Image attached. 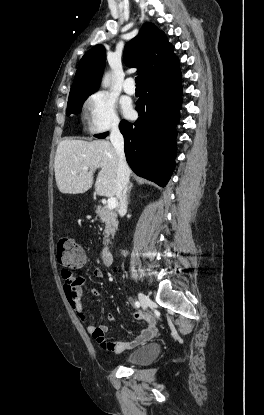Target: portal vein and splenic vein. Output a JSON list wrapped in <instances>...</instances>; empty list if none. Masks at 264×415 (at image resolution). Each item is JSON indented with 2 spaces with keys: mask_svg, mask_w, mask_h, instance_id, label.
<instances>
[{
  "mask_svg": "<svg viewBox=\"0 0 264 415\" xmlns=\"http://www.w3.org/2000/svg\"><path fill=\"white\" fill-rule=\"evenodd\" d=\"M85 170H88V168H84ZM117 207V200L116 198H109L107 201V208L110 210H113Z\"/></svg>",
  "mask_w": 264,
  "mask_h": 415,
  "instance_id": "portal-vein-and-splenic-vein-1",
  "label": "portal vein and splenic vein"
}]
</instances>
